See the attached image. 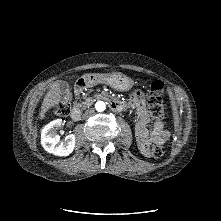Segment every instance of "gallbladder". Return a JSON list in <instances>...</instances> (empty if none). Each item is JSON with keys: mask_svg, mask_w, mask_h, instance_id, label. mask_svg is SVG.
Returning <instances> with one entry per match:
<instances>
[{"mask_svg": "<svg viewBox=\"0 0 221 221\" xmlns=\"http://www.w3.org/2000/svg\"><path fill=\"white\" fill-rule=\"evenodd\" d=\"M59 87H60V90L62 91V93L69 94L70 86L67 82H65V81L59 82Z\"/></svg>", "mask_w": 221, "mask_h": 221, "instance_id": "obj_1", "label": "gallbladder"}]
</instances>
